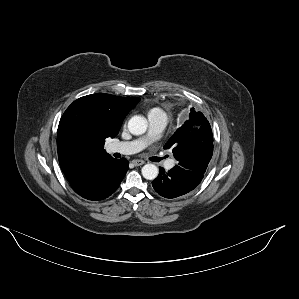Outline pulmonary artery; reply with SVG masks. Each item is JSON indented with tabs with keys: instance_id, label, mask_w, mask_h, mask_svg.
<instances>
[{
	"instance_id": "1",
	"label": "pulmonary artery",
	"mask_w": 299,
	"mask_h": 299,
	"mask_svg": "<svg viewBox=\"0 0 299 299\" xmlns=\"http://www.w3.org/2000/svg\"><path fill=\"white\" fill-rule=\"evenodd\" d=\"M149 129L145 136L127 142H116L110 145L109 150L112 153L134 154L141 151L152 141H154L165 129L168 123V117L165 112L160 111L148 116ZM175 160L170 159L166 162L168 169L173 168Z\"/></svg>"
}]
</instances>
